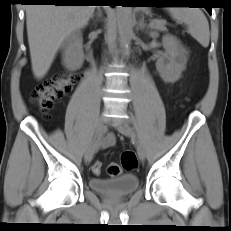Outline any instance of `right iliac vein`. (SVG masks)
I'll return each mask as SVG.
<instances>
[{
	"mask_svg": "<svg viewBox=\"0 0 231 231\" xmlns=\"http://www.w3.org/2000/svg\"><path fill=\"white\" fill-rule=\"evenodd\" d=\"M104 130H105L104 119L99 118L95 126V134H94L93 140L89 144L88 148L86 149L85 155H84V160L86 163H90L92 161L95 150L97 148V142L102 136Z\"/></svg>",
	"mask_w": 231,
	"mask_h": 231,
	"instance_id": "63e3f726",
	"label": "right iliac vein"
}]
</instances>
